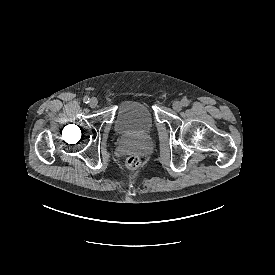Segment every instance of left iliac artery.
Instances as JSON below:
<instances>
[{
    "label": "left iliac artery",
    "instance_id": "1",
    "mask_svg": "<svg viewBox=\"0 0 275 275\" xmlns=\"http://www.w3.org/2000/svg\"><path fill=\"white\" fill-rule=\"evenodd\" d=\"M181 104L183 106H188L189 105V101L186 98H184V99L181 100Z\"/></svg>",
    "mask_w": 275,
    "mask_h": 275
}]
</instances>
